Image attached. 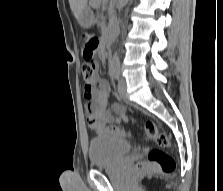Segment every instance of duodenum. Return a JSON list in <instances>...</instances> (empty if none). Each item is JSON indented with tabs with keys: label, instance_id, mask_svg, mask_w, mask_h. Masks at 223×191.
<instances>
[{
	"label": "duodenum",
	"instance_id": "duodenum-1",
	"mask_svg": "<svg viewBox=\"0 0 223 191\" xmlns=\"http://www.w3.org/2000/svg\"><path fill=\"white\" fill-rule=\"evenodd\" d=\"M116 32H117V26L113 23L105 37V46L107 48H109L111 46L112 42L114 41Z\"/></svg>",
	"mask_w": 223,
	"mask_h": 191
}]
</instances>
